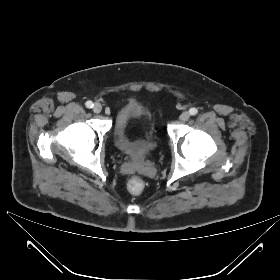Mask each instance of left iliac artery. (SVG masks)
<instances>
[{
  "label": "left iliac artery",
  "instance_id": "1",
  "mask_svg": "<svg viewBox=\"0 0 280 280\" xmlns=\"http://www.w3.org/2000/svg\"><path fill=\"white\" fill-rule=\"evenodd\" d=\"M189 113H190V115L194 116V115H196L198 113V110L196 108H191L189 110Z\"/></svg>",
  "mask_w": 280,
  "mask_h": 280
}]
</instances>
